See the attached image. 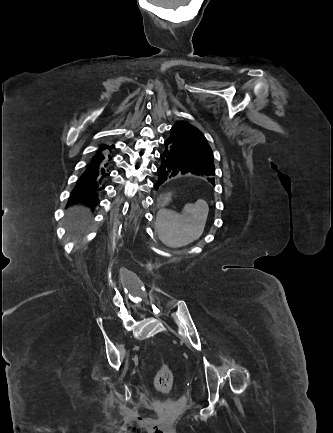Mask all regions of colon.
<instances>
[{
  "instance_id": "colon-1",
  "label": "colon",
  "mask_w": 333,
  "mask_h": 433,
  "mask_svg": "<svg viewBox=\"0 0 333 433\" xmlns=\"http://www.w3.org/2000/svg\"><path fill=\"white\" fill-rule=\"evenodd\" d=\"M154 384L156 389L163 395L168 394L172 388L173 374L169 366L163 361L157 367Z\"/></svg>"
}]
</instances>
